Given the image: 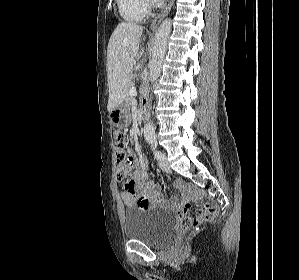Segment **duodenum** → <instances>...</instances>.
<instances>
[{
	"label": "duodenum",
	"instance_id": "duodenum-1",
	"mask_svg": "<svg viewBox=\"0 0 299 280\" xmlns=\"http://www.w3.org/2000/svg\"><path fill=\"white\" fill-rule=\"evenodd\" d=\"M140 107H141V114L143 118L146 120L148 117V105L146 100L141 101Z\"/></svg>",
	"mask_w": 299,
	"mask_h": 280
}]
</instances>
